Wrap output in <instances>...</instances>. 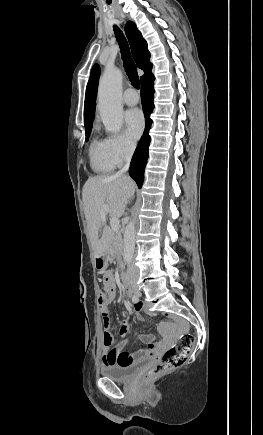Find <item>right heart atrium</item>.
Instances as JSON below:
<instances>
[{
	"mask_svg": "<svg viewBox=\"0 0 263 435\" xmlns=\"http://www.w3.org/2000/svg\"><path fill=\"white\" fill-rule=\"evenodd\" d=\"M108 151L115 165H120L134 152L135 144L124 134H114L106 138Z\"/></svg>",
	"mask_w": 263,
	"mask_h": 435,
	"instance_id": "obj_1",
	"label": "right heart atrium"
}]
</instances>
